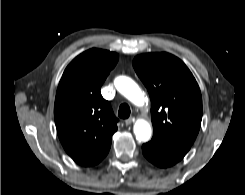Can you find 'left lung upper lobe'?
<instances>
[{
  "instance_id": "left-lung-upper-lobe-1",
  "label": "left lung upper lobe",
  "mask_w": 245,
  "mask_h": 195,
  "mask_svg": "<svg viewBox=\"0 0 245 195\" xmlns=\"http://www.w3.org/2000/svg\"><path fill=\"white\" fill-rule=\"evenodd\" d=\"M133 67L151 99L154 134L192 145L202 120V97L188 67L169 53L134 58Z\"/></svg>"
}]
</instances>
